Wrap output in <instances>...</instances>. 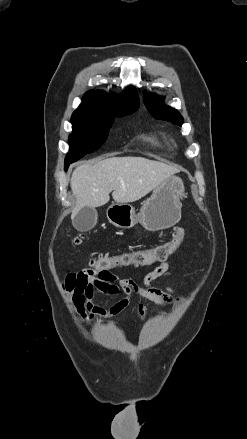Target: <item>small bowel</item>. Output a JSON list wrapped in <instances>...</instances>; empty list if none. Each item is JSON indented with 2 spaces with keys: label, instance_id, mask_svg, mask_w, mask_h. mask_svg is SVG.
<instances>
[{
  "label": "small bowel",
  "instance_id": "small-bowel-1",
  "mask_svg": "<svg viewBox=\"0 0 247 439\" xmlns=\"http://www.w3.org/2000/svg\"><path fill=\"white\" fill-rule=\"evenodd\" d=\"M169 267L168 261L161 262L144 276L142 284H138L133 279H122L110 270L96 272L85 268L69 273L63 282V288L68 294L73 310L85 322H89L95 316L108 318L120 313L129 305L133 295L169 307L182 299L176 297L170 287L160 288L154 284L169 270ZM95 291L110 296L122 292L125 297L105 309L92 302ZM137 310L142 319L147 317L148 310L141 302L138 303Z\"/></svg>",
  "mask_w": 247,
  "mask_h": 439
}]
</instances>
